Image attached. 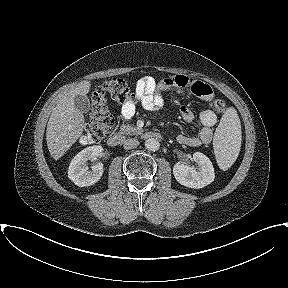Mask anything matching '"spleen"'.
<instances>
[{"label":"spleen","mask_w":288,"mask_h":288,"mask_svg":"<svg viewBox=\"0 0 288 288\" xmlns=\"http://www.w3.org/2000/svg\"><path fill=\"white\" fill-rule=\"evenodd\" d=\"M242 140L241 123L237 111L229 107L216 128L213 148L220 169L227 170L236 161Z\"/></svg>","instance_id":"spleen-1"}]
</instances>
